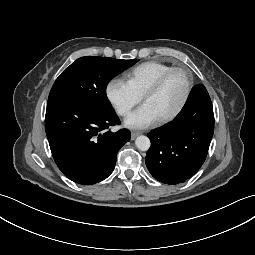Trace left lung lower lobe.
I'll use <instances>...</instances> for the list:
<instances>
[{
	"label": "left lung lower lobe",
	"instance_id": "1",
	"mask_svg": "<svg viewBox=\"0 0 255 255\" xmlns=\"http://www.w3.org/2000/svg\"><path fill=\"white\" fill-rule=\"evenodd\" d=\"M213 132L211 99L204 85H195L175 119L148 133L151 147L145 162L149 172L170 185L190 179L206 159Z\"/></svg>",
	"mask_w": 255,
	"mask_h": 255
}]
</instances>
